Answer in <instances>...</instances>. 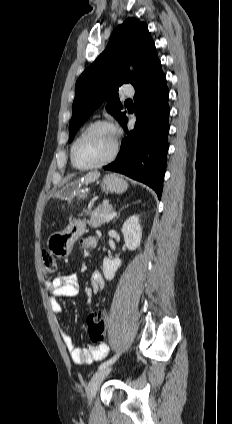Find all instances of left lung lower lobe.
Instances as JSON below:
<instances>
[{"label": "left lung lower lobe", "mask_w": 232, "mask_h": 424, "mask_svg": "<svg viewBox=\"0 0 232 424\" xmlns=\"http://www.w3.org/2000/svg\"><path fill=\"white\" fill-rule=\"evenodd\" d=\"M135 88L137 121L127 131V117L121 125L127 138L121 143L117 159L104 167L150 186L161 198L168 152L169 92L159 61L149 76Z\"/></svg>", "instance_id": "obj_1"}]
</instances>
